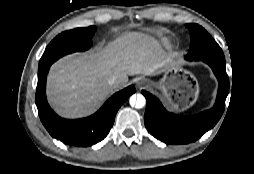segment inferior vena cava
I'll return each instance as SVG.
<instances>
[{
	"mask_svg": "<svg viewBox=\"0 0 254 174\" xmlns=\"http://www.w3.org/2000/svg\"><path fill=\"white\" fill-rule=\"evenodd\" d=\"M108 83H109V85L110 86H112V87H117L118 85H119V80L115 77V76H113V77H111L109 80H108Z\"/></svg>",
	"mask_w": 254,
	"mask_h": 174,
	"instance_id": "602c4592",
	"label": "inferior vena cava"
}]
</instances>
